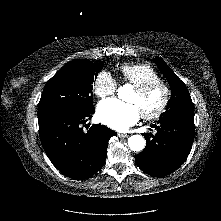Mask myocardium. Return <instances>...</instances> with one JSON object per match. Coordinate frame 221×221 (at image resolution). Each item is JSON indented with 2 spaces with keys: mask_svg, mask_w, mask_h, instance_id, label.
Instances as JSON below:
<instances>
[{
  "mask_svg": "<svg viewBox=\"0 0 221 221\" xmlns=\"http://www.w3.org/2000/svg\"><path fill=\"white\" fill-rule=\"evenodd\" d=\"M161 90L162 92V100L157 108L151 111H142L141 114L145 119L153 120L156 118H159L166 110L170 97H171V91L169 86L162 80H156L149 82L147 84H144L139 87H135L134 91L136 94L140 97H146L150 93H152L155 90Z\"/></svg>",
  "mask_w": 221,
  "mask_h": 221,
  "instance_id": "1",
  "label": "myocardium"
}]
</instances>
